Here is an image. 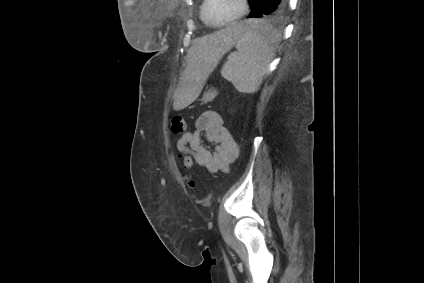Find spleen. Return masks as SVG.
<instances>
[{
  "mask_svg": "<svg viewBox=\"0 0 424 283\" xmlns=\"http://www.w3.org/2000/svg\"><path fill=\"white\" fill-rule=\"evenodd\" d=\"M246 31L237 41V51L230 53L221 75L242 93L258 90L262 76L275 54L279 35L273 26L249 19Z\"/></svg>",
  "mask_w": 424,
  "mask_h": 283,
  "instance_id": "3e777b00",
  "label": "spleen"
}]
</instances>
